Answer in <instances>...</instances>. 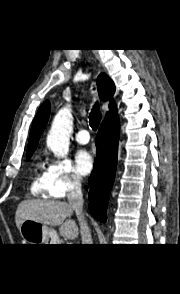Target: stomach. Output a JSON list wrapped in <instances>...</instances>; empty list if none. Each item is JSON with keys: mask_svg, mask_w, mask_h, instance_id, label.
<instances>
[{"mask_svg": "<svg viewBox=\"0 0 180 294\" xmlns=\"http://www.w3.org/2000/svg\"><path fill=\"white\" fill-rule=\"evenodd\" d=\"M19 232L25 244H53L57 238L55 230L33 220L23 221Z\"/></svg>", "mask_w": 180, "mask_h": 294, "instance_id": "stomach-1", "label": "stomach"}]
</instances>
